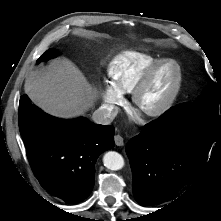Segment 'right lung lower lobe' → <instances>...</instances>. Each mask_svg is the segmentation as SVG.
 I'll return each instance as SVG.
<instances>
[{
    "mask_svg": "<svg viewBox=\"0 0 221 221\" xmlns=\"http://www.w3.org/2000/svg\"><path fill=\"white\" fill-rule=\"evenodd\" d=\"M19 129L34 175L50 194L78 203L94 186L98 156L114 146V127L53 117L20 98Z\"/></svg>",
    "mask_w": 221,
    "mask_h": 221,
    "instance_id": "right-lung-lower-lobe-1",
    "label": "right lung lower lobe"
}]
</instances>
